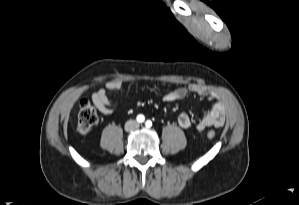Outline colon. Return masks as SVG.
<instances>
[{
  "label": "colon",
  "instance_id": "1",
  "mask_svg": "<svg viewBox=\"0 0 299 205\" xmlns=\"http://www.w3.org/2000/svg\"><path fill=\"white\" fill-rule=\"evenodd\" d=\"M99 121L97 109L86 99L79 103L77 130L81 134H87ZM216 132L210 130L207 133L209 139H214Z\"/></svg>",
  "mask_w": 299,
  "mask_h": 205
}]
</instances>
